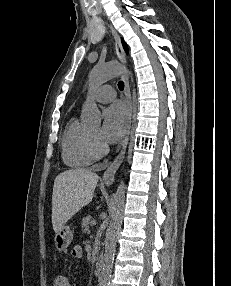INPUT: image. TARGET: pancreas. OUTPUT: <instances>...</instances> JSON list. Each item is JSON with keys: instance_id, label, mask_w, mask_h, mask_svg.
<instances>
[{"instance_id": "obj_1", "label": "pancreas", "mask_w": 231, "mask_h": 286, "mask_svg": "<svg viewBox=\"0 0 231 286\" xmlns=\"http://www.w3.org/2000/svg\"><path fill=\"white\" fill-rule=\"evenodd\" d=\"M92 217L90 215H88L87 217H84L82 219V222H81V228H82V232L83 233H87L89 232V225H90V221H91Z\"/></svg>"}]
</instances>
